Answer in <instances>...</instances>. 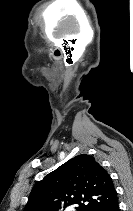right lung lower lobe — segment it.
I'll return each mask as SVG.
<instances>
[{"label":"right lung lower lobe","mask_w":133,"mask_h":211,"mask_svg":"<svg viewBox=\"0 0 133 211\" xmlns=\"http://www.w3.org/2000/svg\"><path fill=\"white\" fill-rule=\"evenodd\" d=\"M106 211H119V206H118V202L116 204H114L113 206H111L109 209H107Z\"/></svg>","instance_id":"98d812e1"}]
</instances>
